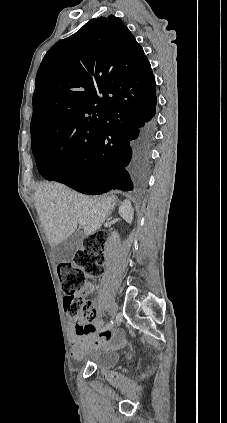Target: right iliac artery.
Returning <instances> with one entry per match:
<instances>
[{"mask_svg":"<svg viewBox=\"0 0 227 423\" xmlns=\"http://www.w3.org/2000/svg\"><path fill=\"white\" fill-rule=\"evenodd\" d=\"M115 320L113 319V320H111L100 332H103V331H106V330H109L112 326H113V322H114Z\"/></svg>","mask_w":227,"mask_h":423,"instance_id":"82829eb1","label":"right iliac artery"}]
</instances>
